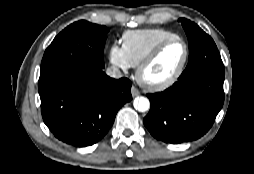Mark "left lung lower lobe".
<instances>
[{"label":"left lung lower lobe","mask_w":254,"mask_h":174,"mask_svg":"<svg viewBox=\"0 0 254 174\" xmlns=\"http://www.w3.org/2000/svg\"><path fill=\"white\" fill-rule=\"evenodd\" d=\"M224 71L205 70L178 79L172 87L147 94L151 107L143 119L151 135L165 143L179 144L203 136L224 102Z\"/></svg>","instance_id":"obj_1"}]
</instances>
